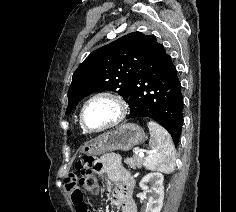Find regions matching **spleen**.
I'll return each mask as SVG.
<instances>
[{
    "instance_id": "3e777b00",
    "label": "spleen",
    "mask_w": 236,
    "mask_h": 212,
    "mask_svg": "<svg viewBox=\"0 0 236 212\" xmlns=\"http://www.w3.org/2000/svg\"><path fill=\"white\" fill-rule=\"evenodd\" d=\"M151 151L144 166L151 171L169 174L175 168V147L170 134L155 121L148 122Z\"/></svg>"
}]
</instances>
